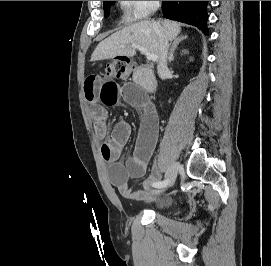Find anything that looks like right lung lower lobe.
<instances>
[{
  "mask_svg": "<svg viewBox=\"0 0 271 266\" xmlns=\"http://www.w3.org/2000/svg\"><path fill=\"white\" fill-rule=\"evenodd\" d=\"M207 4L208 1H163L162 9L166 18L194 25L208 34Z\"/></svg>",
  "mask_w": 271,
  "mask_h": 266,
  "instance_id": "right-lung-lower-lobe-1",
  "label": "right lung lower lobe"
}]
</instances>
